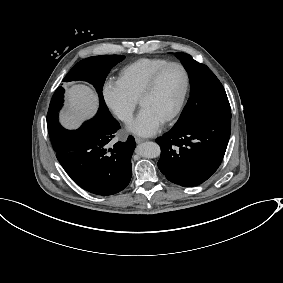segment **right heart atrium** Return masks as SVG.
Masks as SVG:
<instances>
[{
	"label": "right heart atrium",
	"instance_id": "1",
	"mask_svg": "<svg viewBox=\"0 0 283 283\" xmlns=\"http://www.w3.org/2000/svg\"><path fill=\"white\" fill-rule=\"evenodd\" d=\"M102 96L107 107L121 122L131 120L137 101L130 97L118 79L109 78L104 82Z\"/></svg>",
	"mask_w": 283,
	"mask_h": 283
}]
</instances>
